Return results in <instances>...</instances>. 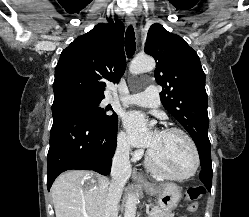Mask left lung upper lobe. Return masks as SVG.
<instances>
[{
  "label": "left lung upper lobe",
  "instance_id": "1",
  "mask_svg": "<svg viewBox=\"0 0 249 217\" xmlns=\"http://www.w3.org/2000/svg\"><path fill=\"white\" fill-rule=\"evenodd\" d=\"M145 53L156 61L155 79L164 108L188 131L202 167L211 166L208 97L197 53L178 35L155 23L148 30Z\"/></svg>",
  "mask_w": 249,
  "mask_h": 217
}]
</instances>
